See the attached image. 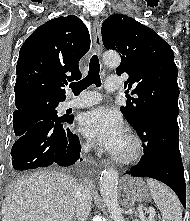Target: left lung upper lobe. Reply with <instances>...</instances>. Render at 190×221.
Returning <instances> with one entry per match:
<instances>
[{
	"instance_id": "5c2ea615",
	"label": "left lung upper lobe",
	"mask_w": 190,
	"mask_h": 221,
	"mask_svg": "<svg viewBox=\"0 0 190 221\" xmlns=\"http://www.w3.org/2000/svg\"><path fill=\"white\" fill-rule=\"evenodd\" d=\"M101 32L105 48L120 53L117 75L127 73L125 88L137 95L120 108L127 121L135 126L153 111L178 115V70L170 45L149 27L122 14L107 18Z\"/></svg>"
}]
</instances>
